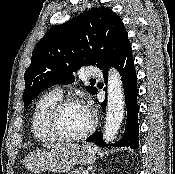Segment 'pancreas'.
I'll use <instances>...</instances> for the list:
<instances>
[{"mask_svg":"<svg viewBox=\"0 0 175 174\" xmlns=\"http://www.w3.org/2000/svg\"><path fill=\"white\" fill-rule=\"evenodd\" d=\"M70 174H82V169H81V168H79V169H74V170L71 171Z\"/></svg>","mask_w":175,"mask_h":174,"instance_id":"1","label":"pancreas"}]
</instances>
